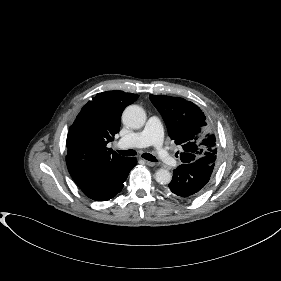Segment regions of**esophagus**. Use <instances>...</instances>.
I'll return each instance as SVG.
<instances>
[{
  "instance_id": "1",
  "label": "esophagus",
  "mask_w": 281,
  "mask_h": 281,
  "mask_svg": "<svg viewBox=\"0 0 281 281\" xmlns=\"http://www.w3.org/2000/svg\"><path fill=\"white\" fill-rule=\"evenodd\" d=\"M144 163H145L147 166H150V167L155 166V163H154V162H151V161H148V160H144Z\"/></svg>"
}]
</instances>
